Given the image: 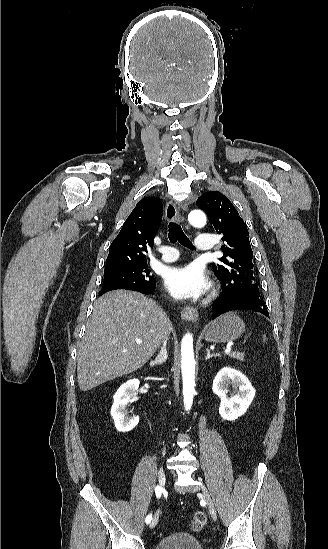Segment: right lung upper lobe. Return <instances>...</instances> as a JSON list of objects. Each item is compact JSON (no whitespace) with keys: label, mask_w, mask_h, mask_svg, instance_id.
<instances>
[{"label":"right lung upper lobe","mask_w":328,"mask_h":549,"mask_svg":"<svg viewBox=\"0 0 328 549\" xmlns=\"http://www.w3.org/2000/svg\"><path fill=\"white\" fill-rule=\"evenodd\" d=\"M162 214L160 199L146 197L139 201L110 245L104 272L147 264V246L153 244Z\"/></svg>","instance_id":"obj_1"}]
</instances>
